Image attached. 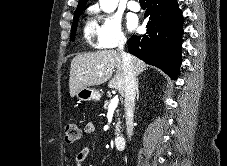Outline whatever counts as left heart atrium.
<instances>
[{
	"label": "left heart atrium",
	"instance_id": "1",
	"mask_svg": "<svg viewBox=\"0 0 227 166\" xmlns=\"http://www.w3.org/2000/svg\"><path fill=\"white\" fill-rule=\"evenodd\" d=\"M136 25H137V23H136L135 20H129V21H128V28H129L130 30L136 29Z\"/></svg>",
	"mask_w": 227,
	"mask_h": 166
}]
</instances>
